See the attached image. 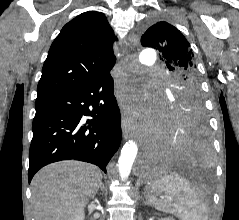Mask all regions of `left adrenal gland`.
<instances>
[{"label": "left adrenal gland", "mask_w": 239, "mask_h": 220, "mask_svg": "<svg viewBox=\"0 0 239 220\" xmlns=\"http://www.w3.org/2000/svg\"><path fill=\"white\" fill-rule=\"evenodd\" d=\"M145 205H150V202L148 199H146V201L144 202Z\"/></svg>", "instance_id": "left-adrenal-gland-1"}]
</instances>
